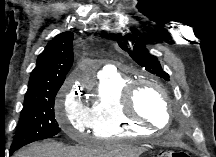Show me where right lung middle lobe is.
I'll return each mask as SVG.
<instances>
[{
	"label": "right lung middle lobe",
	"instance_id": "obj_1",
	"mask_svg": "<svg viewBox=\"0 0 216 157\" xmlns=\"http://www.w3.org/2000/svg\"><path fill=\"white\" fill-rule=\"evenodd\" d=\"M58 91L24 100L11 149L16 150L31 142L52 137L60 132L54 115Z\"/></svg>",
	"mask_w": 216,
	"mask_h": 157
}]
</instances>
